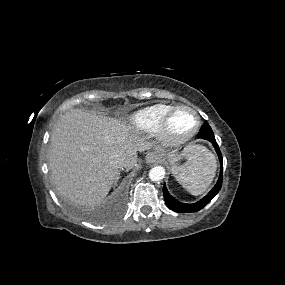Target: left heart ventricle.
Listing matches in <instances>:
<instances>
[{
    "label": "left heart ventricle",
    "mask_w": 285,
    "mask_h": 285,
    "mask_svg": "<svg viewBox=\"0 0 285 285\" xmlns=\"http://www.w3.org/2000/svg\"><path fill=\"white\" fill-rule=\"evenodd\" d=\"M195 124V117L189 112L177 113L171 122V130L177 134L182 135L192 129Z\"/></svg>",
    "instance_id": "b2bd125f"
}]
</instances>
